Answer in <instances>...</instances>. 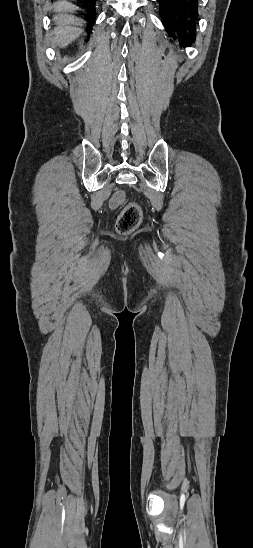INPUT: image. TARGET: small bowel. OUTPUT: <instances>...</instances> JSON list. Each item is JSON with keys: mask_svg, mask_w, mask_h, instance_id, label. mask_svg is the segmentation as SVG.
Returning a JSON list of instances; mask_svg holds the SVG:
<instances>
[{"mask_svg": "<svg viewBox=\"0 0 253 548\" xmlns=\"http://www.w3.org/2000/svg\"><path fill=\"white\" fill-rule=\"evenodd\" d=\"M124 200V193L123 191L119 190L115 192V194L112 196L110 205L112 208L118 207Z\"/></svg>", "mask_w": 253, "mask_h": 548, "instance_id": "small-bowel-1", "label": "small bowel"}]
</instances>
